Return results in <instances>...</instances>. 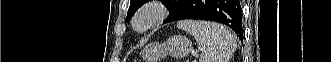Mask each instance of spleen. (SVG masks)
<instances>
[{
    "label": "spleen",
    "instance_id": "3e777b00",
    "mask_svg": "<svg viewBox=\"0 0 331 62\" xmlns=\"http://www.w3.org/2000/svg\"><path fill=\"white\" fill-rule=\"evenodd\" d=\"M178 28L191 34L202 50L200 62H227L236 50V39L224 26L200 20H182Z\"/></svg>",
    "mask_w": 331,
    "mask_h": 62
}]
</instances>
